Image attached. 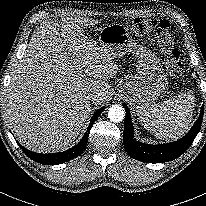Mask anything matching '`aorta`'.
I'll list each match as a JSON object with an SVG mask.
<instances>
[{"mask_svg":"<svg viewBox=\"0 0 206 206\" xmlns=\"http://www.w3.org/2000/svg\"><path fill=\"white\" fill-rule=\"evenodd\" d=\"M108 117L113 122H121L125 117V110L121 105H112L109 108Z\"/></svg>","mask_w":206,"mask_h":206,"instance_id":"762f6f07","label":"aorta"}]
</instances>
